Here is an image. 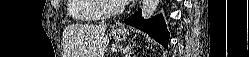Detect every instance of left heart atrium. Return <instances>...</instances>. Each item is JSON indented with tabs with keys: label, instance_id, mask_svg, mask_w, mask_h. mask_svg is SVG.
<instances>
[{
	"label": "left heart atrium",
	"instance_id": "39dd6f15",
	"mask_svg": "<svg viewBox=\"0 0 249 57\" xmlns=\"http://www.w3.org/2000/svg\"><path fill=\"white\" fill-rule=\"evenodd\" d=\"M118 2L121 4H127V3L132 2V0H118Z\"/></svg>",
	"mask_w": 249,
	"mask_h": 57
}]
</instances>
